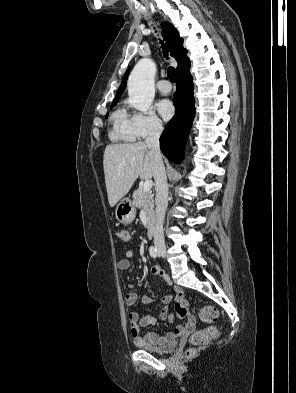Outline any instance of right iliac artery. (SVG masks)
Returning a JSON list of instances; mask_svg holds the SVG:
<instances>
[{
  "label": "right iliac artery",
  "instance_id": "obj_1",
  "mask_svg": "<svg viewBox=\"0 0 296 393\" xmlns=\"http://www.w3.org/2000/svg\"><path fill=\"white\" fill-rule=\"evenodd\" d=\"M149 253H150L151 257H153V258L157 257V249L155 247L151 246L149 248Z\"/></svg>",
  "mask_w": 296,
  "mask_h": 393
}]
</instances>
